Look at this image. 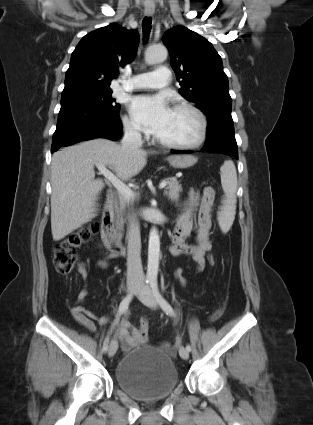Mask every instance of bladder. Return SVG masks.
<instances>
[{
	"label": "bladder",
	"mask_w": 313,
	"mask_h": 425,
	"mask_svg": "<svg viewBox=\"0 0 313 425\" xmlns=\"http://www.w3.org/2000/svg\"><path fill=\"white\" fill-rule=\"evenodd\" d=\"M118 386L131 397L150 401L169 395L179 382L167 349L141 346L126 353L115 368Z\"/></svg>",
	"instance_id": "obj_1"
}]
</instances>
